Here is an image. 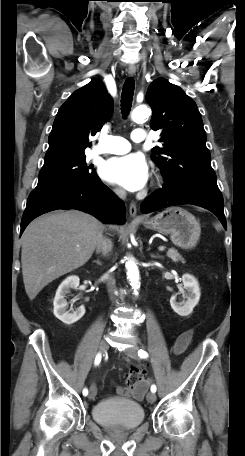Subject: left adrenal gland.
<instances>
[{
  "mask_svg": "<svg viewBox=\"0 0 245 456\" xmlns=\"http://www.w3.org/2000/svg\"><path fill=\"white\" fill-rule=\"evenodd\" d=\"M150 249V248H149ZM150 256L152 258H163L161 255H154V254H150Z\"/></svg>",
  "mask_w": 245,
  "mask_h": 456,
  "instance_id": "obj_1",
  "label": "left adrenal gland"
}]
</instances>
